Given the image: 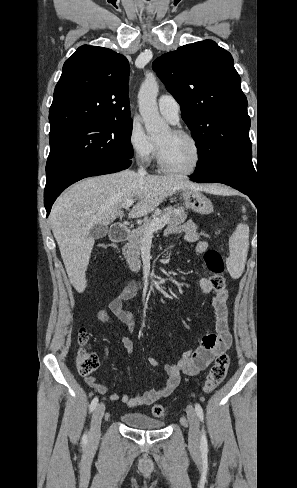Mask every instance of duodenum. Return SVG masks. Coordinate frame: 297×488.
I'll list each match as a JSON object with an SVG mask.
<instances>
[{"label":"duodenum","mask_w":297,"mask_h":488,"mask_svg":"<svg viewBox=\"0 0 297 488\" xmlns=\"http://www.w3.org/2000/svg\"><path fill=\"white\" fill-rule=\"evenodd\" d=\"M129 235V229L122 224H113L110 228V239L113 242H123Z\"/></svg>","instance_id":"410a0bca"}]
</instances>
